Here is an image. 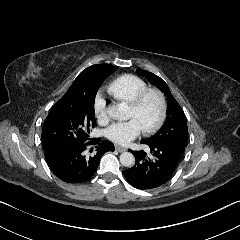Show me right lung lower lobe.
Masks as SVG:
<instances>
[{
	"mask_svg": "<svg viewBox=\"0 0 240 240\" xmlns=\"http://www.w3.org/2000/svg\"><path fill=\"white\" fill-rule=\"evenodd\" d=\"M97 144L90 155L87 146ZM46 161L52 172L66 183H82L89 180L96 172L101 156L114 151L110 141L100 138L83 143H53L44 146ZM93 149L90 150L92 152Z\"/></svg>",
	"mask_w": 240,
	"mask_h": 240,
	"instance_id": "98d812e1",
	"label": "right lung lower lobe"
}]
</instances>
